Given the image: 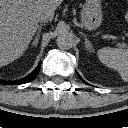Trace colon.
I'll return each mask as SVG.
<instances>
[{
    "mask_svg": "<svg viewBox=\"0 0 128 128\" xmlns=\"http://www.w3.org/2000/svg\"><path fill=\"white\" fill-rule=\"evenodd\" d=\"M125 19L128 21V10L125 12Z\"/></svg>",
    "mask_w": 128,
    "mask_h": 128,
    "instance_id": "colon-1",
    "label": "colon"
}]
</instances>
